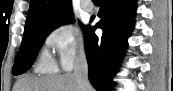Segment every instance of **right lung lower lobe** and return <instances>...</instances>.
Returning <instances> with one entry per match:
<instances>
[{
	"instance_id": "98d812e1",
	"label": "right lung lower lobe",
	"mask_w": 173,
	"mask_h": 91,
	"mask_svg": "<svg viewBox=\"0 0 173 91\" xmlns=\"http://www.w3.org/2000/svg\"><path fill=\"white\" fill-rule=\"evenodd\" d=\"M96 26L85 28L88 77L97 91H111L120 58L125 53L127 38L134 26L135 0H103ZM96 27L103 31L95 35Z\"/></svg>"
}]
</instances>
